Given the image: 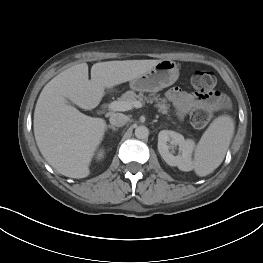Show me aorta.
<instances>
[{
	"instance_id": "obj_1",
	"label": "aorta",
	"mask_w": 263,
	"mask_h": 263,
	"mask_svg": "<svg viewBox=\"0 0 263 263\" xmlns=\"http://www.w3.org/2000/svg\"><path fill=\"white\" fill-rule=\"evenodd\" d=\"M149 135V130L146 126H138L135 129V136L139 139L147 138Z\"/></svg>"
}]
</instances>
